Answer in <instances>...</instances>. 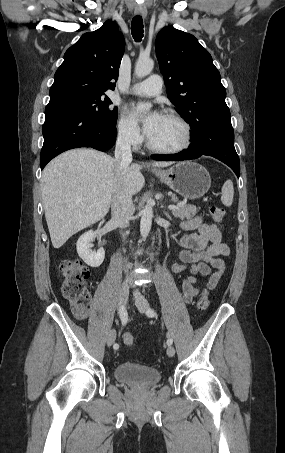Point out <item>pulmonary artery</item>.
<instances>
[{"label": "pulmonary artery", "mask_w": 285, "mask_h": 453, "mask_svg": "<svg viewBox=\"0 0 285 453\" xmlns=\"http://www.w3.org/2000/svg\"><path fill=\"white\" fill-rule=\"evenodd\" d=\"M162 86L161 76L154 74L144 81L132 85L129 92L140 96H156L162 92Z\"/></svg>", "instance_id": "obj_1"}]
</instances>
